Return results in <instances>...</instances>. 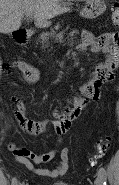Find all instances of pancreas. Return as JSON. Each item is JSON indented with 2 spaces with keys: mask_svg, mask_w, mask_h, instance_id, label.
Here are the masks:
<instances>
[{
  "mask_svg": "<svg viewBox=\"0 0 119 185\" xmlns=\"http://www.w3.org/2000/svg\"><path fill=\"white\" fill-rule=\"evenodd\" d=\"M77 33V31H72L71 35ZM56 35V32L52 31V32H48V33H43L40 38L39 41L44 44L46 42H48L50 39H53ZM60 43H63L62 38H60Z\"/></svg>",
  "mask_w": 119,
  "mask_h": 185,
  "instance_id": "pancreas-1",
  "label": "pancreas"
}]
</instances>
